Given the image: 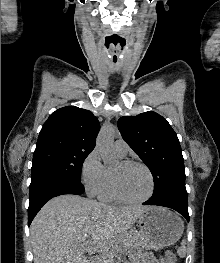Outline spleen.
Masks as SVG:
<instances>
[{
	"instance_id": "spleen-1",
	"label": "spleen",
	"mask_w": 220,
	"mask_h": 263,
	"mask_svg": "<svg viewBox=\"0 0 220 263\" xmlns=\"http://www.w3.org/2000/svg\"><path fill=\"white\" fill-rule=\"evenodd\" d=\"M186 241L183 239L182 242H181V247L179 248L178 250V253L180 256H184L185 255V251H186Z\"/></svg>"
}]
</instances>
